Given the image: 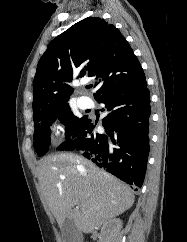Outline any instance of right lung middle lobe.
Returning <instances> with one entry per match:
<instances>
[{
  "label": "right lung middle lobe",
  "instance_id": "right-lung-middle-lobe-1",
  "mask_svg": "<svg viewBox=\"0 0 187 242\" xmlns=\"http://www.w3.org/2000/svg\"><path fill=\"white\" fill-rule=\"evenodd\" d=\"M87 117L78 118L72 113L69 104L52 109L42 114L33 115L34 119V148L38 156H43L50 145V125L58 119L66 129V138H69L86 120Z\"/></svg>",
  "mask_w": 187,
  "mask_h": 242
}]
</instances>
